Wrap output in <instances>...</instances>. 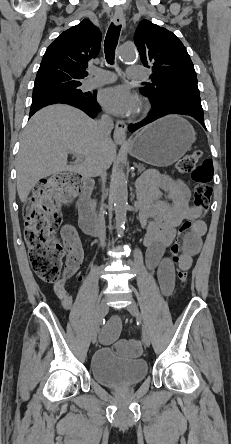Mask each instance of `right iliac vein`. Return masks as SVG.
Masks as SVG:
<instances>
[{
    "label": "right iliac vein",
    "mask_w": 231,
    "mask_h": 444,
    "mask_svg": "<svg viewBox=\"0 0 231 444\" xmlns=\"http://www.w3.org/2000/svg\"><path fill=\"white\" fill-rule=\"evenodd\" d=\"M108 312V305L106 303L105 300H103L100 304L99 310H98V314L95 320V323L93 325L92 328V333H91V341L92 343H96L97 341V336H98V331H99V324L101 323V321L103 320V318L105 317V315Z\"/></svg>",
    "instance_id": "obj_1"
}]
</instances>
